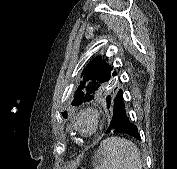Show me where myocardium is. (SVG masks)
Returning a JSON list of instances; mask_svg holds the SVG:
<instances>
[{
    "label": "myocardium",
    "mask_w": 177,
    "mask_h": 169,
    "mask_svg": "<svg viewBox=\"0 0 177 169\" xmlns=\"http://www.w3.org/2000/svg\"><path fill=\"white\" fill-rule=\"evenodd\" d=\"M83 121H86L89 125L87 129L83 128ZM74 126L83 136H91L96 132L99 126V114L93 108L82 109L74 119Z\"/></svg>",
    "instance_id": "f54148a6"
}]
</instances>
